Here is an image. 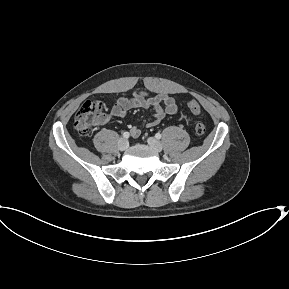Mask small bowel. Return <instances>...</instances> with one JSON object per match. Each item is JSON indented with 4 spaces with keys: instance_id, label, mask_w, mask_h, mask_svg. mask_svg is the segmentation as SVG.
Segmentation results:
<instances>
[{
    "instance_id": "obj_1",
    "label": "small bowel",
    "mask_w": 289,
    "mask_h": 289,
    "mask_svg": "<svg viewBox=\"0 0 289 289\" xmlns=\"http://www.w3.org/2000/svg\"><path fill=\"white\" fill-rule=\"evenodd\" d=\"M137 108H150L153 114V120L147 123V127H153L160 123L166 115H173L177 112V105L171 96L159 94L153 97L148 96L145 91H136L130 98L120 97L114 101L109 114L102 115L98 123L104 124L112 116L125 117L129 111ZM133 137L141 134V129L133 126L130 129Z\"/></svg>"
}]
</instances>
